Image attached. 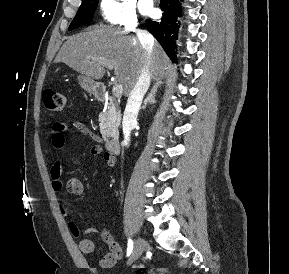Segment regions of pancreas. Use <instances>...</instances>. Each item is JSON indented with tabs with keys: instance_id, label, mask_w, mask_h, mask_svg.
<instances>
[{
	"instance_id": "cf45deb5",
	"label": "pancreas",
	"mask_w": 289,
	"mask_h": 274,
	"mask_svg": "<svg viewBox=\"0 0 289 274\" xmlns=\"http://www.w3.org/2000/svg\"><path fill=\"white\" fill-rule=\"evenodd\" d=\"M120 121V110L118 109L114 98H109V103L106 110L99 115L100 132L104 140L118 134V126Z\"/></svg>"
}]
</instances>
